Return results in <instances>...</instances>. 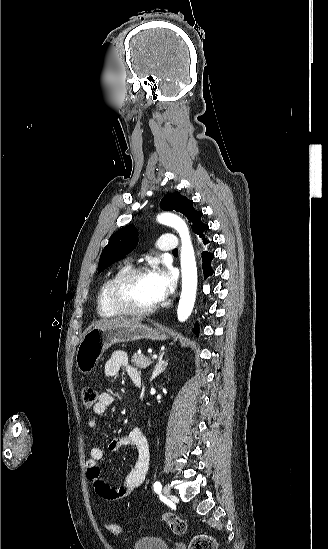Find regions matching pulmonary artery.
<instances>
[{
  "instance_id": "e3ab8cb5",
  "label": "pulmonary artery",
  "mask_w": 328,
  "mask_h": 549,
  "mask_svg": "<svg viewBox=\"0 0 328 549\" xmlns=\"http://www.w3.org/2000/svg\"><path fill=\"white\" fill-rule=\"evenodd\" d=\"M175 237H163L161 241H155L152 248L155 252H172L177 246Z\"/></svg>"
}]
</instances>
